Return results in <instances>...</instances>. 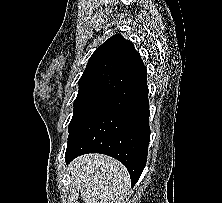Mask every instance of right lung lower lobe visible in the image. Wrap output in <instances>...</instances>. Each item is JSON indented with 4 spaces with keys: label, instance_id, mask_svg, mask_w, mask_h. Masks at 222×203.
Wrapping results in <instances>:
<instances>
[{
    "label": "right lung lower lobe",
    "instance_id": "obj_1",
    "mask_svg": "<svg viewBox=\"0 0 222 203\" xmlns=\"http://www.w3.org/2000/svg\"><path fill=\"white\" fill-rule=\"evenodd\" d=\"M150 140L147 71L145 70L84 118L70 132L66 162L87 153H102L122 162L132 187L147 159Z\"/></svg>",
    "mask_w": 222,
    "mask_h": 203
}]
</instances>
